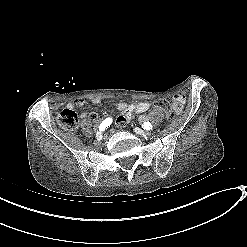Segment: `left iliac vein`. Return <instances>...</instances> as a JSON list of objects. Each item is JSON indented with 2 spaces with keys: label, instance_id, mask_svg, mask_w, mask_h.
I'll list each match as a JSON object with an SVG mask.
<instances>
[{
  "label": "left iliac vein",
  "instance_id": "4c4485c4",
  "mask_svg": "<svg viewBox=\"0 0 247 247\" xmlns=\"http://www.w3.org/2000/svg\"><path fill=\"white\" fill-rule=\"evenodd\" d=\"M134 131H135V133L138 134V135H146V134H147L145 131H143V130L140 129V128H135Z\"/></svg>",
  "mask_w": 247,
  "mask_h": 247
}]
</instances>
